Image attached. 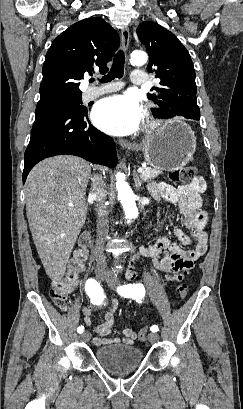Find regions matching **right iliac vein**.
I'll list each match as a JSON object with an SVG mask.
<instances>
[{"label":"right iliac vein","instance_id":"63e3f726","mask_svg":"<svg viewBox=\"0 0 243 409\" xmlns=\"http://www.w3.org/2000/svg\"><path fill=\"white\" fill-rule=\"evenodd\" d=\"M96 277H97V279H98L99 281H104V280H106V278H107V274H106V272H104V271H98V272L96 273ZM90 338H91V334H90L89 332H84V333L81 335V340L84 341V342L89 341Z\"/></svg>","mask_w":243,"mask_h":409}]
</instances>
